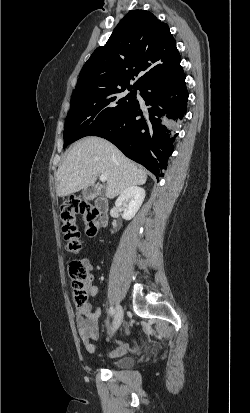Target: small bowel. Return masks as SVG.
Wrapping results in <instances>:
<instances>
[{"instance_id": "1", "label": "small bowel", "mask_w": 250, "mask_h": 413, "mask_svg": "<svg viewBox=\"0 0 250 413\" xmlns=\"http://www.w3.org/2000/svg\"><path fill=\"white\" fill-rule=\"evenodd\" d=\"M82 263L86 266L89 272H92L93 266L88 258L82 259ZM92 281V276H91ZM89 292L91 296H95L98 292V287L95 284H91L89 287ZM101 316V309L97 307L95 310L92 309L91 305L88 304L83 308H78L76 326L78 335L86 349L90 354L95 352L94 341L99 337V318ZM126 351V346L120 343L119 346L109 354V357H117L124 354Z\"/></svg>"}]
</instances>
